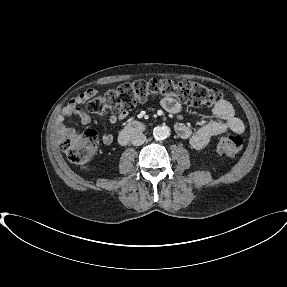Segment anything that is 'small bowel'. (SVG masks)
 <instances>
[{
	"mask_svg": "<svg viewBox=\"0 0 287 287\" xmlns=\"http://www.w3.org/2000/svg\"><path fill=\"white\" fill-rule=\"evenodd\" d=\"M93 95V90L83 92L73 97L63 108L61 114L56 119L57 134L60 138H64L73 132L72 129L65 126L64 122L66 119L77 117L83 125H87L91 122L90 116L80 108V105ZM161 105L170 113H178L182 108V105L173 98H164L161 101ZM211 112L214 119L208 121L196 131H192L184 122H177L174 126L176 134L180 138L188 140L194 149L202 150L206 148L211 143L212 138L216 136L228 132L238 134L244 131L242 120L235 115L232 105L227 100L221 99L212 107ZM127 117L128 112L121 111L118 114L110 115L108 121L114 125L124 121ZM101 140L104 144L109 145L113 142L114 136L111 133H102Z\"/></svg>",
	"mask_w": 287,
	"mask_h": 287,
	"instance_id": "c3829d8e",
	"label": "small bowel"
}]
</instances>
